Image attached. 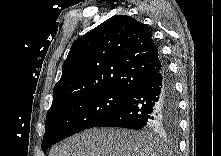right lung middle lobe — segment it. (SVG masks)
<instances>
[{"label":"right lung middle lobe","instance_id":"right-lung-middle-lobe-1","mask_svg":"<svg viewBox=\"0 0 221 156\" xmlns=\"http://www.w3.org/2000/svg\"><path fill=\"white\" fill-rule=\"evenodd\" d=\"M129 98L128 93L101 91L73 97L51 106L42 141L44 153L51 145L75 133L96 127Z\"/></svg>","mask_w":221,"mask_h":156}]
</instances>
